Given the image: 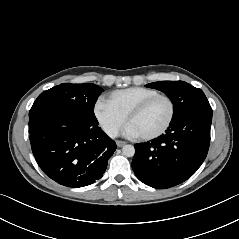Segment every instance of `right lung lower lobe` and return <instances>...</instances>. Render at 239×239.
Wrapping results in <instances>:
<instances>
[{"mask_svg":"<svg viewBox=\"0 0 239 239\" xmlns=\"http://www.w3.org/2000/svg\"><path fill=\"white\" fill-rule=\"evenodd\" d=\"M97 125L57 123L30 133L32 152L43 172L57 183L72 188L100 179L116 143Z\"/></svg>","mask_w":239,"mask_h":239,"instance_id":"1","label":"right lung lower lobe"}]
</instances>
